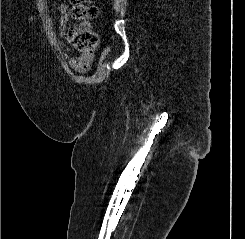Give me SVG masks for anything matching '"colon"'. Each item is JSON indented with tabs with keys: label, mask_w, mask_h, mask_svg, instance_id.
<instances>
[{
	"label": "colon",
	"mask_w": 245,
	"mask_h": 239,
	"mask_svg": "<svg viewBox=\"0 0 245 239\" xmlns=\"http://www.w3.org/2000/svg\"><path fill=\"white\" fill-rule=\"evenodd\" d=\"M70 14L79 21H86L96 17L97 7L92 0H69ZM64 35L69 45L80 53V56L93 54L98 44L96 33L83 24L73 25L65 29Z\"/></svg>",
	"instance_id": "1"
}]
</instances>
